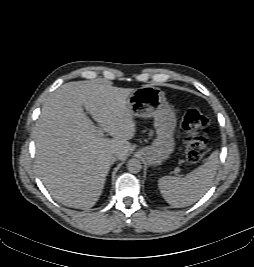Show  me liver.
Returning a JSON list of instances; mask_svg holds the SVG:
<instances>
[{"label": "liver", "mask_w": 254, "mask_h": 267, "mask_svg": "<svg viewBox=\"0 0 254 267\" xmlns=\"http://www.w3.org/2000/svg\"><path fill=\"white\" fill-rule=\"evenodd\" d=\"M135 89L110 82L83 81L61 85L46 99L32 131L36 172L60 203L90 208L99 200L106 176L118 155L125 160L136 134L128 97ZM83 107L112 139L97 135Z\"/></svg>", "instance_id": "liver-1"}]
</instances>
